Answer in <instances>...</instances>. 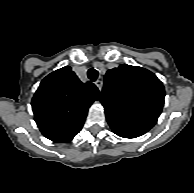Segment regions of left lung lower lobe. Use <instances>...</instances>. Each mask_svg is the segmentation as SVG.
I'll return each instance as SVG.
<instances>
[{"instance_id": "obj_1", "label": "left lung lower lobe", "mask_w": 194, "mask_h": 193, "mask_svg": "<svg viewBox=\"0 0 194 193\" xmlns=\"http://www.w3.org/2000/svg\"><path fill=\"white\" fill-rule=\"evenodd\" d=\"M106 119L112 131L120 137L136 138L150 130L144 125L117 117L111 113H106Z\"/></svg>"}]
</instances>
